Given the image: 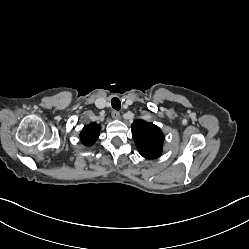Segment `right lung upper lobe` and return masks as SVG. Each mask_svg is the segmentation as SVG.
<instances>
[{
    "label": "right lung upper lobe",
    "instance_id": "1",
    "mask_svg": "<svg viewBox=\"0 0 249 249\" xmlns=\"http://www.w3.org/2000/svg\"><path fill=\"white\" fill-rule=\"evenodd\" d=\"M99 132H100L99 124L91 123L89 125H86L80 134L82 143L86 146L94 144L99 136Z\"/></svg>",
    "mask_w": 249,
    "mask_h": 249
}]
</instances>
